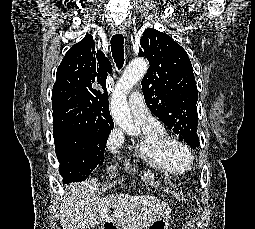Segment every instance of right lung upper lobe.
<instances>
[{
  "label": "right lung upper lobe",
  "instance_id": "cb5924a9",
  "mask_svg": "<svg viewBox=\"0 0 255 229\" xmlns=\"http://www.w3.org/2000/svg\"><path fill=\"white\" fill-rule=\"evenodd\" d=\"M110 61L95 51L92 35L86 36L64 56L52 90L54 130L109 132L114 123L106 91ZM95 82L100 84L96 88Z\"/></svg>",
  "mask_w": 255,
  "mask_h": 229
}]
</instances>
